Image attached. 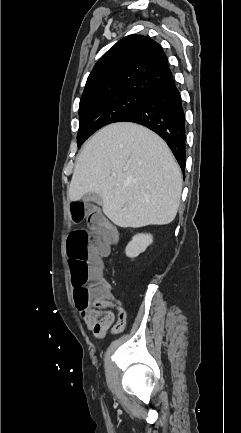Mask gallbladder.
Returning <instances> with one entry per match:
<instances>
[{
	"instance_id": "gallbladder-1",
	"label": "gallbladder",
	"mask_w": 241,
	"mask_h": 433,
	"mask_svg": "<svg viewBox=\"0 0 241 433\" xmlns=\"http://www.w3.org/2000/svg\"><path fill=\"white\" fill-rule=\"evenodd\" d=\"M82 199L85 203H89V202H95L98 204L102 203L101 196L96 194V193H93V192H89V193L85 194Z\"/></svg>"
}]
</instances>
